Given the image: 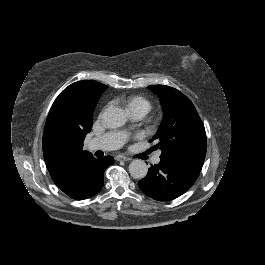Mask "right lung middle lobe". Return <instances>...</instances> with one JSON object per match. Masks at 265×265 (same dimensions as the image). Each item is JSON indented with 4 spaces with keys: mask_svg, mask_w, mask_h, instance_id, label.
Returning <instances> with one entry per match:
<instances>
[{
    "mask_svg": "<svg viewBox=\"0 0 265 265\" xmlns=\"http://www.w3.org/2000/svg\"><path fill=\"white\" fill-rule=\"evenodd\" d=\"M98 101H99V98H97L96 100H94V101L91 103V105H90V107H89V113H90L91 115L93 114V110H94V108L96 107Z\"/></svg>",
    "mask_w": 265,
    "mask_h": 265,
    "instance_id": "dd1d6c3e",
    "label": "right lung middle lobe"
}]
</instances>
